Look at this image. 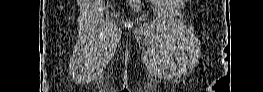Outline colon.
<instances>
[{"mask_svg": "<svg viewBox=\"0 0 263 92\" xmlns=\"http://www.w3.org/2000/svg\"><path fill=\"white\" fill-rule=\"evenodd\" d=\"M140 0H131L130 1V4H131V6L134 8V9H138L139 8V6H140Z\"/></svg>", "mask_w": 263, "mask_h": 92, "instance_id": "obj_1", "label": "colon"}]
</instances>
